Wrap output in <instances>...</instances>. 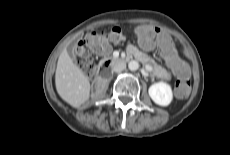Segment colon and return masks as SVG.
Returning <instances> with one entry per match:
<instances>
[{
  "instance_id": "5ec220e1",
  "label": "colon",
  "mask_w": 230,
  "mask_h": 155,
  "mask_svg": "<svg viewBox=\"0 0 230 155\" xmlns=\"http://www.w3.org/2000/svg\"><path fill=\"white\" fill-rule=\"evenodd\" d=\"M124 39L125 37L120 27H114L107 33L92 32L86 35L75 47V54L81 59V68L89 74H93L94 63L89 55V51L104 52L107 49L108 43L120 44ZM174 73L177 77L176 95L178 97H186L190 88L187 66L181 63L176 67Z\"/></svg>"
}]
</instances>
